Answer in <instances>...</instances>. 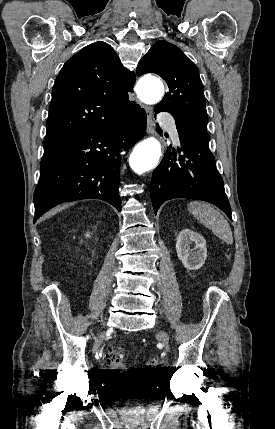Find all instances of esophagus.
<instances>
[{
  "instance_id": "esophagus-1",
  "label": "esophagus",
  "mask_w": 275,
  "mask_h": 429,
  "mask_svg": "<svg viewBox=\"0 0 275 429\" xmlns=\"http://www.w3.org/2000/svg\"><path fill=\"white\" fill-rule=\"evenodd\" d=\"M146 114H147V133L148 134H154L155 128H154V122L152 118V109L149 106L144 107Z\"/></svg>"
}]
</instances>
